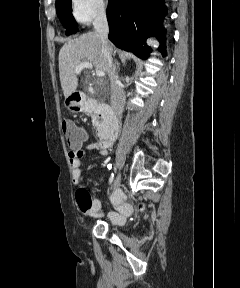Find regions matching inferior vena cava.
I'll return each mask as SVG.
<instances>
[{"label": "inferior vena cava", "instance_id": "1", "mask_svg": "<svg viewBox=\"0 0 240 288\" xmlns=\"http://www.w3.org/2000/svg\"><path fill=\"white\" fill-rule=\"evenodd\" d=\"M94 30L100 39L102 50L107 62L108 75L112 87L111 106L112 114L108 118L106 124H116L121 116L124 108L125 94L123 88L118 82L115 69L113 67L112 46L108 41L109 26L105 10L98 12L93 22Z\"/></svg>", "mask_w": 240, "mask_h": 288}]
</instances>
